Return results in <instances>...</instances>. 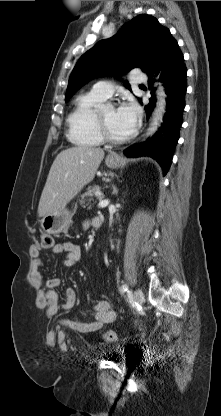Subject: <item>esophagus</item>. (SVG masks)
<instances>
[{
    "instance_id": "34e87169",
    "label": "esophagus",
    "mask_w": 221,
    "mask_h": 416,
    "mask_svg": "<svg viewBox=\"0 0 221 416\" xmlns=\"http://www.w3.org/2000/svg\"><path fill=\"white\" fill-rule=\"evenodd\" d=\"M110 157H112V158H113V157H116V156L112 154V155H110Z\"/></svg>"
}]
</instances>
